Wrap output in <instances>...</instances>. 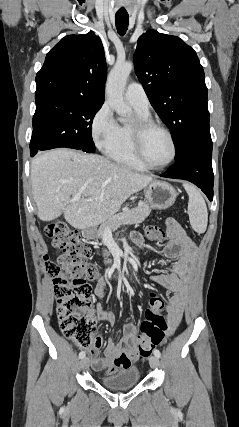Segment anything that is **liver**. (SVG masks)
Wrapping results in <instances>:
<instances>
[{
	"mask_svg": "<svg viewBox=\"0 0 239 427\" xmlns=\"http://www.w3.org/2000/svg\"><path fill=\"white\" fill-rule=\"evenodd\" d=\"M31 186L38 217L52 221L64 213L74 228H95L112 218L152 177L137 173L98 154L60 148L31 162ZM78 202L70 203L75 195Z\"/></svg>",
	"mask_w": 239,
	"mask_h": 427,
	"instance_id": "6515ba94",
	"label": "liver"
}]
</instances>
